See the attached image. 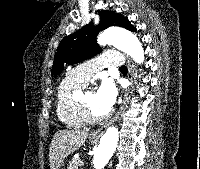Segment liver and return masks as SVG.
Segmentation results:
<instances>
[{
	"label": "liver",
	"mask_w": 200,
	"mask_h": 169,
	"mask_svg": "<svg viewBox=\"0 0 200 169\" xmlns=\"http://www.w3.org/2000/svg\"><path fill=\"white\" fill-rule=\"evenodd\" d=\"M87 137V132L79 130H60L56 132L49 148L50 169H58L67 156L85 143Z\"/></svg>",
	"instance_id": "obj_1"
}]
</instances>
